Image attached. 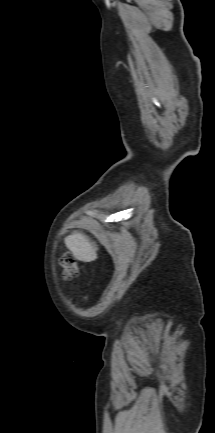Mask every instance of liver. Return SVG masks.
<instances>
[{
    "mask_svg": "<svg viewBox=\"0 0 215 433\" xmlns=\"http://www.w3.org/2000/svg\"><path fill=\"white\" fill-rule=\"evenodd\" d=\"M66 247L73 256L83 262H92L97 259V248L89 238L81 233H74L65 238Z\"/></svg>",
    "mask_w": 215,
    "mask_h": 433,
    "instance_id": "6515ba94",
    "label": "liver"
}]
</instances>
